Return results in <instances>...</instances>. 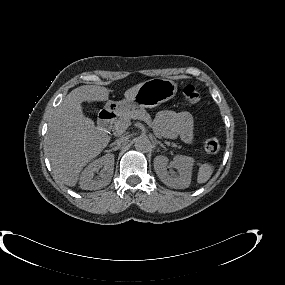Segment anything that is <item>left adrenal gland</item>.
Returning a JSON list of instances; mask_svg holds the SVG:
<instances>
[{"mask_svg": "<svg viewBox=\"0 0 285 285\" xmlns=\"http://www.w3.org/2000/svg\"><path fill=\"white\" fill-rule=\"evenodd\" d=\"M155 144H159L161 147L165 148V146L158 140H155Z\"/></svg>", "mask_w": 285, "mask_h": 285, "instance_id": "1", "label": "left adrenal gland"}]
</instances>
